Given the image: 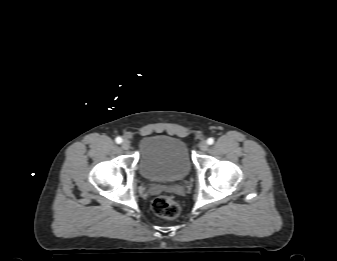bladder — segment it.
Masks as SVG:
<instances>
[{
	"mask_svg": "<svg viewBox=\"0 0 337 261\" xmlns=\"http://www.w3.org/2000/svg\"><path fill=\"white\" fill-rule=\"evenodd\" d=\"M139 169L152 182H177L190 172L186 144L167 135H149L139 144Z\"/></svg>",
	"mask_w": 337,
	"mask_h": 261,
	"instance_id": "31cf9c89",
	"label": "bladder"
}]
</instances>
